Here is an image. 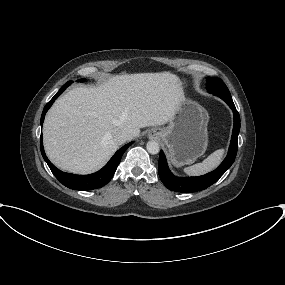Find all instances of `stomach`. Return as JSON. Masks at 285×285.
Segmentation results:
<instances>
[{"mask_svg": "<svg viewBox=\"0 0 285 285\" xmlns=\"http://www.w3.org/2000/svg\"><path fill=\"white\" fill-rule=\"evenodd\" d=\"M179 82L182 88V82ZM208 121L209 115L204 107L182 96L168 126L154 128L151 132L168 147L173 165L180 167L192 163L205 153Z\"/></svg>", "mask_w": 285, "mask_h": 285, "instance_id": "obj_1", "label": "stomach"}]
</instances>
